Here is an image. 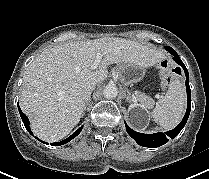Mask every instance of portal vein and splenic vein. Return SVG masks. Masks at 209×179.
<instances>
[{
  "mask_svg": "<svg viewBox=\"0 0 209 179\" xmlns=\"http://www.w3.org/2000/svg\"><path fill=\"white\" fill-rule=\"evenodd\" d=\"M101 59H102V54L98 53L97 56H96V59L94 61V63L92 64V69H96L100 62H101ZM135 101H136V98L134 97Z\"/></svg>",
  "mask_w": 209,
  "mask_h": 179,
  "instance_id": "obj_1",
  "label": "portal vein and splenic vein"
}]
</instances>
